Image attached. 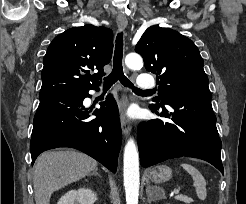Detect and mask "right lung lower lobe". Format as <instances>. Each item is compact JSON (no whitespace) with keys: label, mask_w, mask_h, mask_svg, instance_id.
<instances>
[{"label":"right lung lower lobe","mask_w":246,"mask_h":204,"mask_svg":"<svg viewBox=\"0 0 246 204\" xmlns=\"http://www.w3.org/2000/svg\"><path fill=\"white\" fill-rule=\"evenodd\" d=\"M90 89H97L90 88ZM86 90H64L40 96L33 120L30 142L32 164L43 151L71 147L93 157L112 172H116L121 146V127L118 107L109 95L90 120L89 111L82 105Z\"/></svg>","instance_id":"1"}]
</instances>
